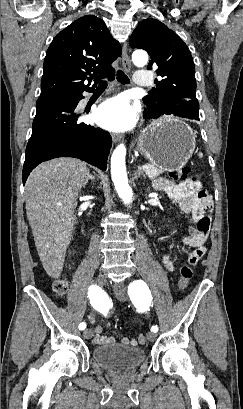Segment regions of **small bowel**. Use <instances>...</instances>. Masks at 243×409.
<instances>
[{
    "instance_id": "c3829d8e",
    "label": "small bowel",
    "mask_w": 243,
    "mask_h": 409,
    "mask_svg": "<svg viewBox=\"0 0 243 409\" xmlns=\"http://www.w3.org/2000/svg\"><path fill=\"white\" fill-rule=\"evenodd\" d=\"M154 186L156 189L166 192L171 199L180 205L184 213L191 216L195 227L189 236L182 238V242L186 246L194 248L188 255L187 263L191 266L196 265L206 253L205 243L210 232V213L213 209L212 198L199 184L192 183L191 181L174 183L167 179L159 178L154 182ZM162 263L169 271H173L175 268L170 256H162ZM110 308V303L106 301L103 313L107 314ZM88 318L92 324L95 323L93 314H90ZM94 330L96 333L94 342L97 345L112 344L117 339H120L121 343L126 346H136L139 343L134 338H119L115 333L111 336L102 335L103 328L101 326H95Z\"/></svg>"
}]
</instances>
